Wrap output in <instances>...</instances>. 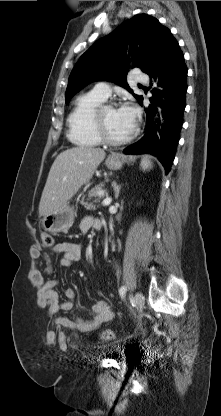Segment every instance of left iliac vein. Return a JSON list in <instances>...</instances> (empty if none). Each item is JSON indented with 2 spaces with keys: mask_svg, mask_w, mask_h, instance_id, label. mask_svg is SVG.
<instances>
[{
  "mask_svg": "<svg viewBox=\"0 0 221 416\" xmlns=\"http://www.w3.org/2000/svg\"><path fill=\"white\" fill-rule=\"evenodd\" d=\"M134 303L138 309H142L144 306V296L141 292H137L134 296Z\"/></svg>",
  "mask_w": 221,
  "mask_h": 416,
  "instance_id": "4c4485c4",
  "label": "left iliac vein"
}]
</instances>
